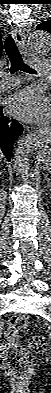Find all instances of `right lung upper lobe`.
Wrapping results in <instances>:
<instances>
[{
	"label": "right lung upper lobe",
	"mask_w": 51,
	"mask_h": 393,
	"mask_svg": "<svg viewBox=\"0 0 51 393\" xmlns=\"http://www.w3.org/2000/svg\"><path fill=\"white\" fill-rule=\"evenodd\" d=\"M2 41H1V34H0V58H1V51H2Z\"/></svg>",
	"instance_id": "right-lung-upper-lobe-1"
}]
</instances>
